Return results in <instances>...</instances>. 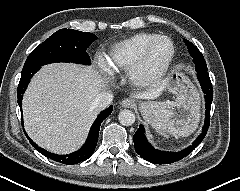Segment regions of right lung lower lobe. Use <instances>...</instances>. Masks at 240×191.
<instances>
[{
	"label": "right lung lower lobe",
	"instance_id": "right-lung-lower-lobe-1",
	"mask_svg": "<svg viewBox=\"0 0 240 191\" xmlns=\"http://www.w3.org/2000/svg\"><path fill=\"white\" fill-rule=\"evenodd\" d=\"M40 67L41 66H37L34 68H30L28 70L22 71L21 79H20V82L18 85V90H17V98H18L17 102L19 104L21 112H22L23 94L27 88V85L30 82V79L40 69ZM112 110H113V107L110 106L109 108H107L106 110L102 111L99 114V116L97 117V119L95 120V122L93 123V125L90 129L87 141L85 142V144L83 145V147L81 149H79L78 151H76L74 153H71L68 155H57V154L48 152L45 149L39 147L31 139H29L30 143L32 144V146L34 148H36L45 157L50 158L56 162H60V163L67 164V165H72V164H77L79 162L87 160L88 158H90V156L95 151V147H96L97 141H98V134H99L101 122L111 114ZM26 136H27V134H26Z\"/></svg>",
	"mask_w": 240,
	"mask_h": 191
}]
</instances>
